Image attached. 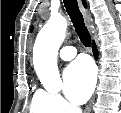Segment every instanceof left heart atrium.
Instances as JSON below:
<instances>
[{"label":"left heart atrium","mask_w":121,"mask_h":113,"mask_svg":"<svg viewBox=\"0 0 121 113\" xmlns=\"http://www.w3.org/2000/svg\"><path fill=\"white\" fill-rule=\"evenodd\" d=\"M95 85V69L86 58L71 63L64 72V93L76 104L84 103Z\"/></svg>","instance_id":"39dd6f15"}]
</instances>
